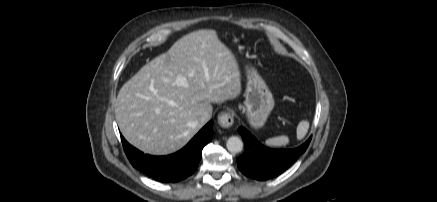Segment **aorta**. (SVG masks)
Masks as SVG:
<instances>
[{
    "instance_id": "obj_1",
    "label": "aorta",
    "mask_w": 437,
    "mask_h": 202,
    "mask_svg": "<svg viewBox=\"0 0 437 202\" xmlns=\"http://www.w3.org/2000/svg\"><path fill=\"white\" fill-rule=\"evenodd\" d=\"M226 147L232 153H239L243 149V142L239 137L232 136L227 140Z\"/></svg>"
}]
</instances>
